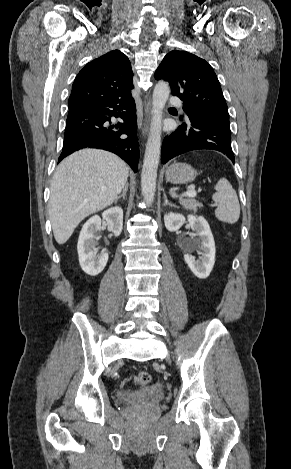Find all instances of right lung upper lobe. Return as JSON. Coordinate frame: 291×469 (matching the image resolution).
Here are the masks:
<instances>
[{
	"label": "right lung upper lobe",
	"mask_w": 291,
	"mask_h": 469,
	"mask_svg": "<svg viewBox=\"0 0 291 469\" xmlns=\"http://www.w3.org/2000/svg\"><path fill=\"white\" fill-rule=\"evenodd\" d=\"M133 71L127 56L119 50L110 51L88 63L77 75L68 100V108L116 97L132 98Z\"/></svg>",
	"instance_id": "cb5924a9"
}]
</instances>
